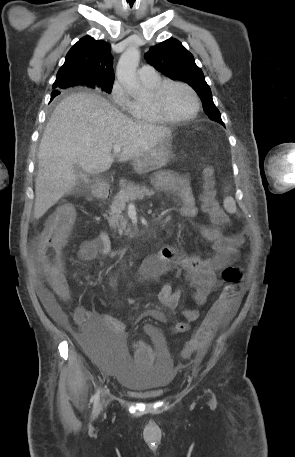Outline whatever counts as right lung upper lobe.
I'll return each instance as SVG.
<instances>
[{"mask_svg":"<svg viewBox=\"0 0 295 457\" xmlns=\"http://www.w3.org/2000/svg\"><path fill=\"white\" fill-rule=\"evenodd\" d=\"M112 65L109 43L83 37L67 53L53 88L65 89L71 84L91 88L113 83Z\"/></svg>","mask_w":295,"mask_h":457,"instance_id":"1","label":"right lung upper lobe"}]
</instances>
